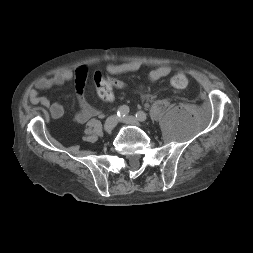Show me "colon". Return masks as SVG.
Returning a JSON list of instances; mask_svg holds the SVG:
<instances>
[{
	"mask_svg": "<svg viewBox=\"0 0 253 253\" xmlns=\"http://www.w3.org/2000/svg\"><path fill=\"white\" fill-rule=\"evenodd\" d=\"M93 79L98 96L107 102L114 101V89H125L128 87L125 81L102 69L94 71ZM170 84L176 89H184L188 85V79L183 73H178L170 79Z\"/></svg>",
	"mask_w": 253,
	"mask_h": 253,
	"instance_id": "colon-1",
	"label": "colon"
}]
</instances>
